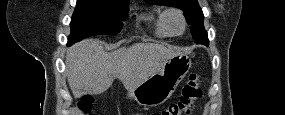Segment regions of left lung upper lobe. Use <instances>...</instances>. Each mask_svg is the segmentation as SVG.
Masks as SVG:
<instances>
[{"label": "left lung upper lobe", "mask_w": 285, "mask_h": 115, "mask_svg": "<svg viewBox=\"0 0 285 115\" xmlns=\"http://www.w3.org/2000/svg\"><path fill=\"white\" fill-rule=\"evenodd\" d=\"M158 5L173 6L183 10L186 21L190 24L191 34L197 44L208 45L207 32L203 25V12L197 0H148Z\"/></svg>", "instance_id": "1"}]
</instances>
